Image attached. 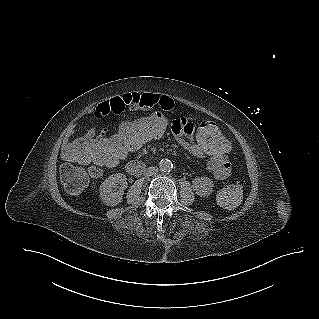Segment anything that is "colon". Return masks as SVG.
I'll return each mask as SVG.
<instances>
[{"mask_svg": "<svg viewBox=\"0 0 319 319\" xmlns=\"http://www.w3.org/2000/svg\"><path fill=\"white\" fill-rule=\"evenodd\" d=\"M169 130L166 115L153 113L135 115L131 123L100 139H92L87 134L77 140L67 137L62 150L66 161L61 168L64 188L73 195L82 193L90 177L100 173L99 167H115L144 144L163 139ZM192 136L195 143L213 158H224L231 151L232 144L227 133L210 120L197 122ZM82 163H90V169L85 170L80 165ZM241 199L242 186L239 181L225 186L217 195L219 205L227 209L237 207Z\"/></svg>", "mask_w": 319, "mask_h": 319, "instance_id": "1", "label": "colon"}]
</instances>
